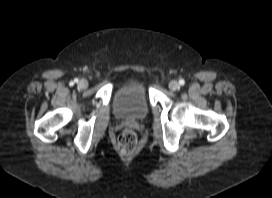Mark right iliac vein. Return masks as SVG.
Masks as SVG:
<instances>
[{
	"label": "right iliac vein",
	"instance_id": "63e3f726",
	"mask_svg": "<svg viewBox=\"0 0 272 198\" xmlns=\"http://www.w3.org/2000/svg\"><path fill=\"white\" fill-rule=\"evenodd\" d=\"M78 86L82 89L86 88L88 86V82L85 80V79H81L79 82H78Z\"/></svg>",
	"mask_w": 272,
	"mask_h": 198
}]
</instances>
